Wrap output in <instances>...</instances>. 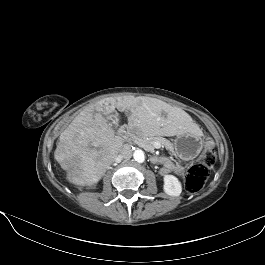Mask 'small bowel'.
Segmentation results:
<instances>
[{
	"mask_svg": "<svg viewBox=\"0 0 265 265\" xmlns=\"http://www.w3.org/2000/svg\"><path fill=\"white\" fill-rule=\"evenodd\" d=\"M160 162L162 163V167L160 173L162 175H166L172 171L180 174L183 171V168L180 165H176L172 160L169 158H161Z\"/></svg>",
	"mask_w": 265,
	"mask_h": 265,
	"instance_id": "1",
	"label": "small bowel"
}]
</instances>
